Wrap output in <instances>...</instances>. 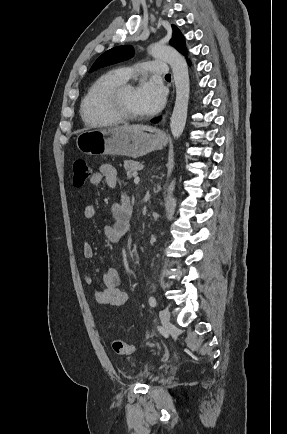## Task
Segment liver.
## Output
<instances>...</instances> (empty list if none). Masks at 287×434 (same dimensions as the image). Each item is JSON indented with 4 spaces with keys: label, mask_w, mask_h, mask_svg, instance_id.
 I'll list each match as a JSON object with an SVG mask.
<instances>
[{
    "label": "liver",
    "mask_w": 287,
    "mask_h": 434,
    "mask_svg": "<svg viewBox=\"0 0 287 434\" xmlns=\"http://www.w3.org/2000/svg\"><path fill=\"white\" fill-rule=\"evenodd\" d=\"M118 128L127 131H152L151 128L142 125H134V126H126V127H118Z\"/></svg>",
    "instance_id": "6515ba94"
}]
</instances>
